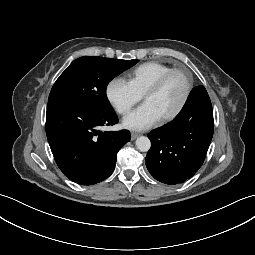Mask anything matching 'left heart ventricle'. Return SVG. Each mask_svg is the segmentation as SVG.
Segmentation results:
<instances>
[{
    "label": "left heart ventricle",
    "instance_id": "b2bd125f",
    "mask_svg": "<svg viewBox=\"0 0 255 255\" xmlns=\"http://www.w3.org/2000/svg\"><path fill=\"white\" fill-rule=\"evenodd\" d=\"M185 90L186 81L184 76L181 73H174L158 92L149 95L145 101L153 105L162 118L178 107Z\"/></svg>",
    "mask_w": 255,
    "mask_h": 255
}]
</instances>
